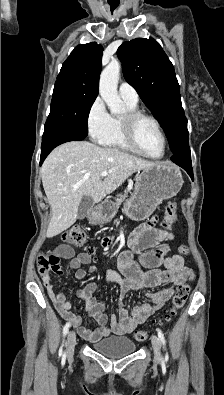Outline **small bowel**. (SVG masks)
Here are the masks:
<instances>
[{
    "label": "small bowel",
    "instance_id": "obj_1",
    "mask_svg": "<svg viewBox=\"0 0 224 395\" xmlns=\"http://www.w3.org/2000/svg\"><path fill=\"white\" fill-rule=\"evenodd\" d=\"M171 236L154 227L152 220L138 226L128 240L129 249L118 257V268L123 277L115 272H107L105 280L114 282L121 289L123 297L131 290H140L162 286L155 292H148L149 302H143L127 308L119 303L117 315L110 318L104 313L105 302L95 297L97 283L91 282L77 292V297L84 304L88 317L98 323V328L91 330L82 325L83 319L71 311V302L63 294L56 293L49 274H41L47 294L56 310L63 319L69 321L77 328L81 337L89 342H97L110 335H126L131 333L137 325L161 309L173 294L176 285L187 278L184 256L188 249L181 246L179 254L167 256L168 247L162 245L158 249L153 247L161 240ZM58 257L69 260V268L75 271V278L82 280L86 276L84 265H90L89 271L96 273L97 269L91 265L92 257L89 253L75 254L72 247L60 244L55 248ZM134 253H139V262L133 258ZM163 265V269L159 266ZM141 266L148 269L143 271Z\"/></svg>",
    "mask_w": 224,
    "mask_h": 395
}]
</instances>
